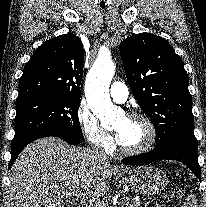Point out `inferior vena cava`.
<instances>
[{
    "label": "inferior vena cava",
    "mask_w": 206,
    "mask_h": 207,
    "mask_svg": "<svg viewBox=\"0 0 206 207\" xmlns=\"http://www.w3.org/2000/svg\"><path fill=\"white\" fill-rule=\"evenodd\" d=\"M91 148H92L93 154H95L96 157L103 159V160H108L105 152L102 149H100L98 146H92Z\"/></svg>",
    "instance_id": "obj_1"
}]
</instances>
